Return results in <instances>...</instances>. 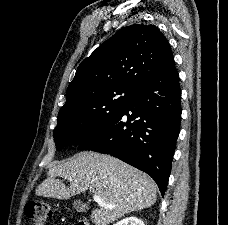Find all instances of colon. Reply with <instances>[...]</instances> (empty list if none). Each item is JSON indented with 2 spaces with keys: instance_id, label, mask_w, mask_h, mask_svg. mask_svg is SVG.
I'll return each instance as SVG.
<instances>
[{
  "instance_id": "1",
  "label": "colon",
  "mask_w": 228,
  "mask_h": 225,
  "mask_svg": "<svg viewBox=\"0 0 228 225\" xmlns=\"http://www.w3.org/2000/svg\"><path fill=\"white\" fill-rule=\"evenodd\" d=\"M33 225H50L49 206L43 201L31 200L25 209Z\"/></svg>"
}]
</instances>
